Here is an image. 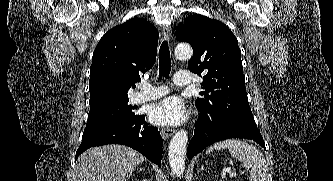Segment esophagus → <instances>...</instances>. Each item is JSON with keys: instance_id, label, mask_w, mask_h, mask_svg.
I'll return each instance as SVG.
<instances>
[{"instance_id": "obj_1", "label": "esophagus", "mask_w": 333, "mask_h": 181, "mask_svg": "<svg viewBox=\"0 0 333 181\" xmlns=\"http://www.w3.org/2000/svg\"><path fill=\"white\" fill-rule=\"evenodd\" d=\"M162 33L165 38L170 39L172 35V30L170 26H164L162 29ZM161 135L163 138H168L175 133V130L172 128H161Z\"/></svg>"}]
</instances>
